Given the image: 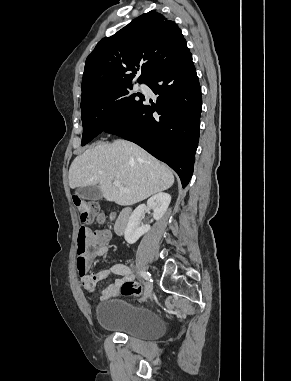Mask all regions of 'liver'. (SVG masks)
<instances>
[{
  "label": "liver",
  "mask_w": 291,
  "mask_h": 381,
  "mask_svg": "<svg viewBox=\"0 0 291 381\" xmlns=\"http://www.w3.org/2000/svg\"><path fill=\"white\" fill-rule=\"evenodd\" d=\"M118 180L126 190L113 184ZM171 170L138 145L124 140L98 144L77 156L69 169V186L98 185L102 196L121 206L143 201L170 188Z\"/></svg>",
  "instance_id": "obj_1"
}]
</instances>
